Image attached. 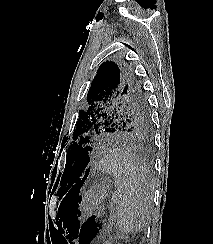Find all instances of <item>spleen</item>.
<instances>
[{
	"mask_svg": "<svg viewBox=\"0 0 213 244\" xmlns=\"http://www.w3.org/2000/svg\"><path fill=\"white\" fill-rule=\"evenodd\" d=\"M101 168L114 177L116 191L109 209L112 219H117L116 228L125 234L141 231L149 219L153 191L146 166L134 155L124 152L107 156L101 161Z\"/></svg>",
	"mask_w": 213,
	"mask_h": 244,
	"instance_id": "obj_1",
	"label": "spleen"
}]
</instances>
